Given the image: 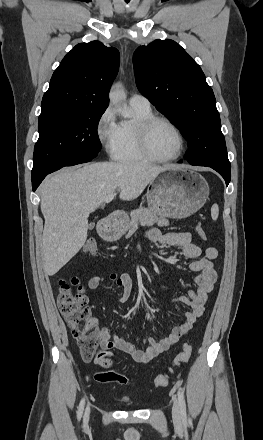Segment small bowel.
Wrapping results in <instances>:
<instances>
[{
	"label": "small bowel",
	"mask_w": 263,
	"mask_h": 440,
	"mask_svg": "<svg viewBox=\"0 0 263 440\" xmlns=\"http://www.w3.org/2000/svg\"><path fill=\"white\" fill-rule=\"evenodd\" d=\"M144 240L178 248L184 257L191 259L188 268L196 274L195 282L197 287L195 290H191L188 296H179L174 299L190 307V310L185 314L184 321L174 327L168 336L160 340L153 338L144 339L143 342L146 344L145 350L136 348L132 342L118 337L116 333L111 332L107 327L99 326L98 319L93 318L91 322L92 326L96 327L98 345L102 349L115 348L129 354L137 363L148 364L163 351L176 344L203 314V307L208 293L213 289L217 279V273L212 262L217 257V250L213 247L202 249L192 243L191 235L188 232L162 233L158 229H150L146 232ZM106 281L115 283L121 289V294L118 298L120 303H126L129 300L133 286L130 276L126 273L92 276L87 281V287L90 290H95Z\"/></svg>",
	"instance_id": "small-bowel-1"
}]
</instances>
